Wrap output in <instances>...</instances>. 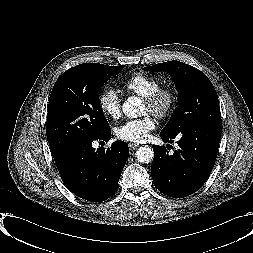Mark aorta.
I'll return each instance as SVG.
<instances>
[{
	"instance_id": "aorta-1",
	"label": "aorta",
	"mask_w": 253,
	"mask_h": 253,
	"mask_svg": "<svg viewBox=\"0 0 253 253\" xmlns=\"http://www.w3.org/2000/svg\"><path fill=\"white\" fill-rule=\"evenodd\" d=\"M125 116L136 118L143 113V104L138 97H129L122 105ZM135 157L140 163L148 164L153 160L154 152L149 146H141L135 153Z\"/></svg>"
}]
</instances>
